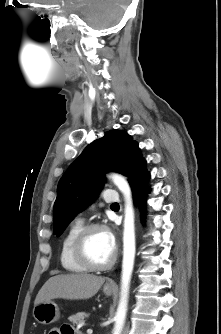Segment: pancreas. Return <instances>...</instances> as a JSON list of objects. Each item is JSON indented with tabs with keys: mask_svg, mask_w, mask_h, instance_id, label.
I'll return each mask as SVG.
<instances>
[{
	"mask_svg": "<svg viewBox=\"0 0 221 334\" xmlns=\"http://www.w3.org/2000/svg\"><path fill=\"white\" fill-rule=\"evenodd\" d=\"M89 314L85 312H80L69 317V320L76 325H81L85 322V319L88 318Z\"/></svg>",
	"mask_w": 221,
	"mask_h": 334,
	"instance_id": "cf45deb5",
	"label": "pancreas"
}]
</instances>
